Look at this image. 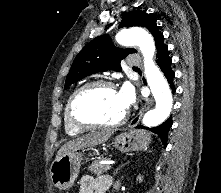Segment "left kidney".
<instances>
[{
    "label": "left kidney",
    "mask_w": 221,
    "mask_h": 193,
    "mask_svg": "<svg viewBox=\"0 0 221 193\" xmlns=\"http://www.w3.org/2000/svg\"><path fill=\"white\" fill-rule=\"evenodd\" d=\"M142 177L139 175L138 177H137V181H139V182H142Z\"/></svg>",
    "instance_id": "1"
}]
</instances>
